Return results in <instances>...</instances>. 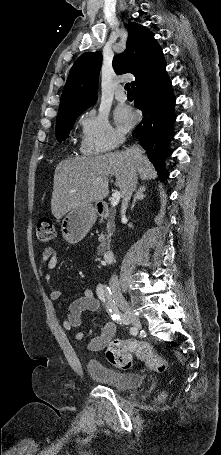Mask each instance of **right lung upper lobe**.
<instances>
[{
	"label": "right lung upper lobe",
	"mask_w": 221,
	"mask_h": 455,
	"mask_svg": "<svg viewBox=\"0 0 221 455\" xmlns=\"http://www.w3.org/2000/svg\"><path fill=\"white\" fill-rule=\"evenodd\" d=\"M128 40L124 52L113 58V68L117 74L132 73L136 80L155 61L162 49L154 39V34L144 26L131 22L127 25ZM102 54L99 51L82 54L70 70L64 86L58 116L79 113L97 100V85L101 69ZM57 116V117H58Z\"/></svg>",
	"instance_id": "obj_1"
}]
</instances>
